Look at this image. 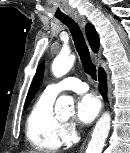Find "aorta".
<instances>
[{
  "label": "aorta",
  "mask_w": 130,
  "mask_h": 153,
  "mask_svg": "<svg viewBox=\"0 0 130 153\" xmlns=\"http://www.w3.org/2000/svg\"><path fill=\"white\" fill-rule=\"evenodd\" d=\"M75 61L73 55L61 52L52 63V72L56 77H62L69 72ZM55 110L62 113H72L74 111V101L72 97L62 95L55 104ZM111 126V115L104 112L97 121L91 141L88 144L86 153H101L105 140L109 134Z\"/></svg>",
  "instance_id": "1"
}]
</instances>
